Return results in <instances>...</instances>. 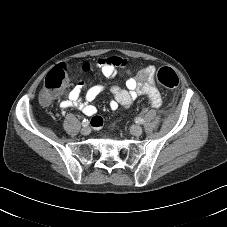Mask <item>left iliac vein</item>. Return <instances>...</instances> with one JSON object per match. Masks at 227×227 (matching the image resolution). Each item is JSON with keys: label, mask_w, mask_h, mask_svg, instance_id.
Instances as JSON below:
<instances>
[{"label": "left iliac vein", "mask_w": 227, "mask_h": 227, "mask_svg": "<svg viewBox=\"0 0 227 227\" xmlns=\"http://www.w3.org/2000/svg\"><path fill=\"white\" fill-rule=\"evenodd\" d=\"M130 132L135 136H139L143 133V129L138 125H133L130 128Z\"/></svg>", "instance_id": "left-iliac-vein-1"}]
</instances>
